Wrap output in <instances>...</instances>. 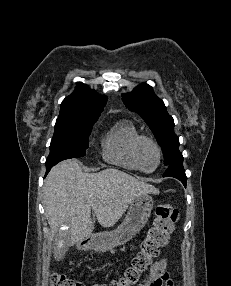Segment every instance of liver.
<instances>
[{"mask_svg":"<svg viewBox=\"0 0 231 286\" xmlns=\"http://www.w3.org/2000/svg\"><path fill=\"white\" fill-rule=\"evenodd\" d=\"M159 190L118 169L84 173L77 160L58 163L49 172L43 187L45 215L54 235L66 236L72 246L94 229L91 210L99 224L111 227L122 217L133 200ZM67 225L68 230L62 231Z\"/></svg>","mask_w":231,"mask_h":286,"instance_id":"liver-1","label":"liver"}]
</instances>
